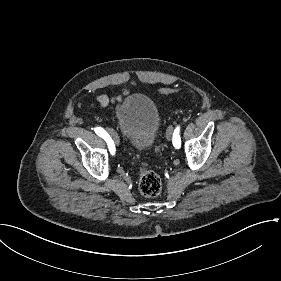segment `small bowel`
<instances>
[{
	"instance_id": "c3829d8e",
	"label": "small bowel",
	"mask_w": 281,
	"mask_h": 281,
	"mask_svg": "<svg viewBox=\"0 0 281 281\" xmlns=\"http://www.w3.org/2000/svg\"><path fill=\"white\" fill-rule=\"evenodd\" d=\"M130 85L134 86L135 83L132 81V82H130ZM129 92H130L129 89H124L115 97H110L108 95L101 94L97 97V103L99 106L104 107V106H107L113 100L120 102L123 99V97H125L126 95L129 94Z\"/></svg>"
}]
</instances>
